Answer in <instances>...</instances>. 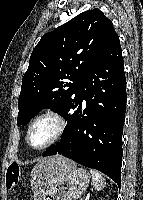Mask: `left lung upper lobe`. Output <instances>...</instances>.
Masks as SVG:
<instances>
[{
	"mask_svg": "<svg viewBox=\"0 0 143 200\" xmlns=\"http://www.w3.org/2000/svg\"><path fill=\"white\" fill-rule=\"evenodd\" d=\"M116 35L111 20L99 9L85 11L44 34L22 79L17 125H26L43 108L69 121L79 79Z\"/></svg>",
	"mask_w": 143,
	"mask_h": 200,
	"instance_id": "obj_1",
	"label": "left lung upper lobe"
}]
</instances>
